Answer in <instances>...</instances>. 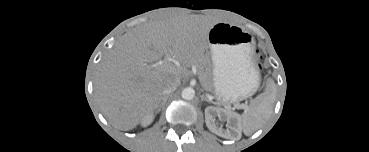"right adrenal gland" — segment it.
<instances>
[{
  "mask_svg": "<svg viewBox=\"0 0 369 152\" xmlns=\"http://www.w3.org/2000/svg\"><path fill=\"white\" fill-rule=\"evenodd\" d=\"M168 96L165 95L162 97V101L158 104V106L156 107V110H161V108L165 105V103L167 102Z\"/></svg>",
  "mask_w": 369,
  "mask_h": 152,
  "instance_id": "2a0ac1e0",
  "label": "right adrenal gland"
}]
</instances>
